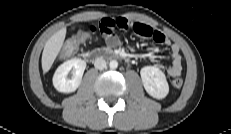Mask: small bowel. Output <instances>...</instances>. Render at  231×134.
Masks as SVG:
<instances>
[{"instance_id": "obj_1", "label": "small bowel", "mask_w": 231, "mask_h": 134, "mask_svg": "<svg viewBox=\"0 0 231 134\" xmlns=\"http://www.w3.org/2000/svg\"><path fill=\"white\" fill-rule=\"evenodd\" d=\"M127 29H131L142 38L153 39L155 42L168 47L170 49L172 63L168 67L167 73L172 77L181 75L182 57L179 46L172 43L170 39L167 38L161 31L153 29L151 26L145 23L130 21L123 17L116 19L104 18L100 20L97 25L89 26L87 28L86 36L100 32L108 45L118 46L120 44V39L116 34V31Z\"/></svg>"}]
</instances>
